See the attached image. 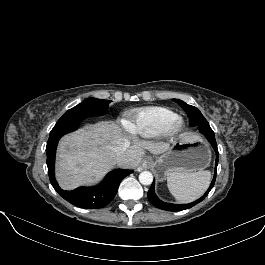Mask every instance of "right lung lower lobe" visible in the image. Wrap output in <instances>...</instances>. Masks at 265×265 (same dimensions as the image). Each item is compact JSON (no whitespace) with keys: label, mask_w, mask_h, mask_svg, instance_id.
Instances as JSON below:
<instances>
[{"label":"right lung lower lobe","mask_w":265,"mask_h":265,"mask_svg":"<svg viewBox=\"0 0 265 265\" xmlns=\"http://www.w3.org/2000/svg\"><path fill=\"white\" fill-rule=\"evenodd\" d=\"M84 119L81 117L70 118L57 122L53 127L46 146L48 174L53 188L62 198L80 208L98 209L111 202L117 193L120 182L134 171L115 169L108 173L104 180L95 187H79L70 191L60 188L54 177L55 154L58 141L63 135L76 130Z\"/></svg>","instance_id":"1"}]
</instances>
